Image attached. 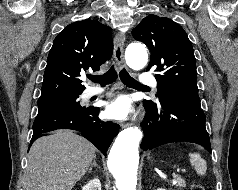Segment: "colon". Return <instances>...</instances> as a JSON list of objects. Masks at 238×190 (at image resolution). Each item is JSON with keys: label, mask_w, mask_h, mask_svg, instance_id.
Listing matches in <instances>:
<instances>
[{"label": "colon", "mask_w": 238, "mask_h": 190, "mask_svg": "<svg viewBox=\"0 0 238 190\" xmlns=\"http://www.w3.org/2000/svg\"><path fill=\"white\" fill-rule=\"evenodd\" d=\"M193 190H204V188L202 186H200V185H195L193 187Z\"/></svg>", "instance_id": "obj_1"}]
</instances>
